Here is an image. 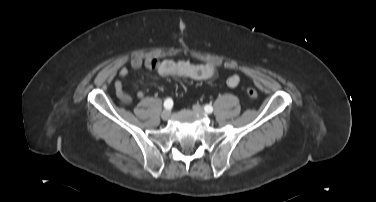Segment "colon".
<instances>
[{
	"label": "colon",
	"mask_w": 376,
	"mask_h": 202,
	"mask_svg": "<svg viewBox=\"0 0 376 202\" xmlns=\"http://www.w3.org/2000/svg\"><path fill=\"white\" fill-rule=\"evenodd\" d=\"M247 94L251 98H256L257 95H258L257 91L254 88H248L247 89Z\"/></svg>",
	"instance_id": "obj_1"
}]
</instances>
